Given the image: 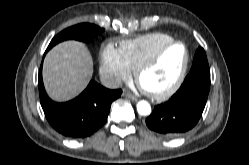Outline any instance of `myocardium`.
I'll return each instance as SVG.
<instances>
[{
    "instance_id": "f54148a6",
    "label": "myocardium",
    "mask_w": 249,
    "mask_h": 165,
    "mask_svg": "<svg viewBox=\"0 0 249 165\" xmlns=\"http://www.w3.org/2000/svg\"><path fill=\"white\" fill-rule=\"evenodd\" d=\"M175 45H181L185 50V57H184L183 65H182L175 81L168 88H166L162 91H151V90L144 89L145 92L153 99L164 100V99L170 97L171 95H173L180 88V86H181V84L186 76V73H187V70L189 67V62H190V53H189V49H188L187 45L182 41L173 40V41L163 45L162 47H160L156 51V53H154L151 57H149L148 59L141 62L134 70L135 80L139 83V79H140L142 73L145 72L146 70H148L149 68H151L153 65H155L161 59V57L164 55V53L169 48H171L172 46H175Z\"/></svg>"
}]
</instances>
